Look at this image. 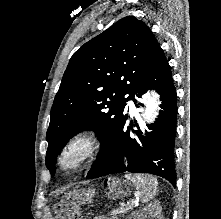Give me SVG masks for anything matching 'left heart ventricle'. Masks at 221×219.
Masks as SVG:
<instances>
[{"mask_svg":"<svg viewBox=\"0 0 221 219\" xmlns=\"http://www.w3.org/2000/svg\"><path fill=\"white\" fill-rule=\"evenodd\" d=\"M78 155H79V152H78V151H75V152L67 159L66 164H67V165H72V164L76 161Z\"/></svg>","mask_w":221,"mask_h":219,"instance_id":"left-heart-ventricle-1","label":"left heart ventricle"}]
</instances>
